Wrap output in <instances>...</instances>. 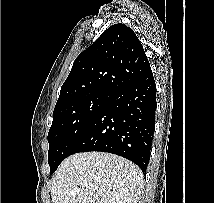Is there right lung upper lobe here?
<instances>
[{"instance_id": "1", "label": "right lung upper lobe", "mask_w": 214, "mask_h": 203, "mask_svg": "<svg viewBox=\"0 0 214 203\" xmlns=\"http://www.w3.org/2000/svg\"><path fill=\"white\" fill-rule=\"evenodd\" d=\"M150 72L133 30L122 23L112 25L75 59L55 108L89 94H111Z\"/></svg>"}]
</instances>
